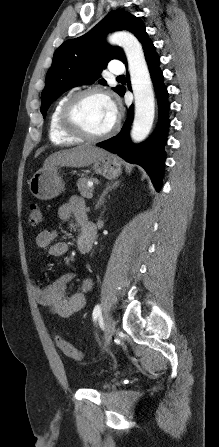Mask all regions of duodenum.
I'll return each mask as SVG.
<instances>
[{
  "instance_id": "1",
  "label": "duodenum",
  "mask_w": 219,
  "mask_h": 447,
  "mask_svg": "<svg viewBox=\"0 0 219 447\" xmlns=\"http://www.w3.org/2000/svg\"><path fill=\"white\" fill-rule=\"evenodd\" d=\"M82 237L81 251L87 253L90 251L96 237L95 224L88 219L87 215L82 222Z\"/></svg>"
}]
</instances>
